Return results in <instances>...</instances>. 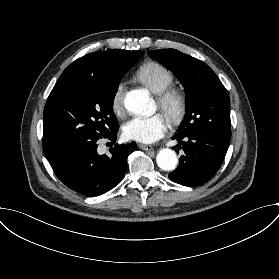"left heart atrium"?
I'll return each mask as SVG.
<instances>
[{
  "mask_svg": "<svg viewBox=\"0 0 279 279\" xmlns=\"http://www.w3.org/2000/svg\"><path fill=\"white\" fill-rule=\"evenodd\" d=\"M167 131V121L162 113L149 117H134L122 127V134L127 140L150 144L161 139Z\"/></svg>",
  "mask_w": 279,
  "mask_h": 279,
  "instance_id": "1",
  "label": "left heart atrium"
}]
</instances>
